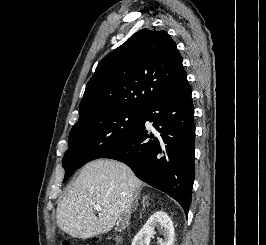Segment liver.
<instances>
[{
  "label": "liver",
  "instance_id": "obj_1",
  "mask_svg": "<svg viewBox=\"0 0 266 245\" xmlns=\"http://www.w3.org/2000/svg\"><path fill=\"white\" fill-rule=\"evenodd\" d=\"M142 185L133 171L112 159L87 163L57 207V225L76 239L108 233L121 215L131 209ZM93 205H100L98 217Z\"/></svg>",
  "mask_w": 266,
  "mask_h": 245
}]
</instances>
